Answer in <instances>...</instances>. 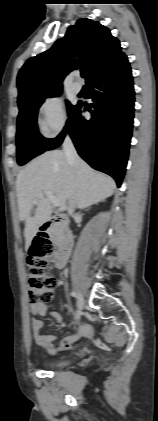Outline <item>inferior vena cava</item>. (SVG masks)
I'll return each instance as SVG.
<instances>
[{"label": "inferior vena cava", "mask_w": 158, "mask_h": 421, "mask_svg": "<svg viewBox=\"0 0 158 421\" xmlns=\"http://www.w3.org/2000/svg\"><path fill=\"white\" fill-rule=\"evenodd\" d=\"M63 151L65 153V156H66V159H67L68 163L70 165H72L75 170H77L78 167H79V165H80V158H79V156H78V154L76 152V149H75V147L73 145V142H72V140H71V138L69 136H66L65 139H64V142H63ZM75 206H76L75 201L74 200H70L69 201L68 208H67L68 209V213L70 215L73 214L74 209H75Z\"/></svg>", "instance_id": "602c4592"}]
</instances>
